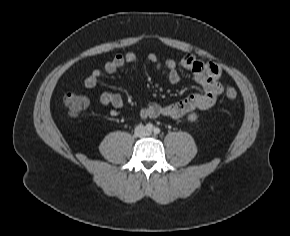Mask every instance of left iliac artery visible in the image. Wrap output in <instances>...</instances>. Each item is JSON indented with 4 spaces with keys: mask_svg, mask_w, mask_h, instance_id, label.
Listing matches in <instances>:
<instances>
[{
    "mask_svg": "<svg viewBox=\"0 0 290 236\" xmlns=\"http://www.w3.org/2000/svg\"><path fill=\"white\" fill-rule=\"evenodd\" d=\"M153 132L155 135H157L160 133V129L158 127H156V128H154Z\"/></svg>",
    "mask_w": 290,
    "mask_h": 236,
    "instance_id": "obj_1",
    "label": "left iliac artery"
}]
</instances>
